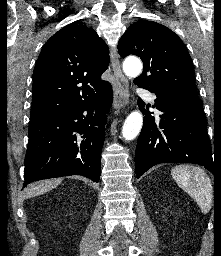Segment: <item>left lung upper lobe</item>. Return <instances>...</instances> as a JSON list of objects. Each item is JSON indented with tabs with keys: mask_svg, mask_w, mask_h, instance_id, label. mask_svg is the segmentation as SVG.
Returning <instances> with one entry per match:
<instances>
[{
	"mask_svg": "<svg viewBox=\"0 0 221 256\" xmlns=\"http://www.w3.org/2000/svg\"><path fill=\"white\" fill-rule=\"evenodd\" d=\"M121 57L141 58L143 73L134 79L153 93L198 97L194 67L184 43L176 33L153 21L133 23L118 44Z\"/></svg>",
	"mask_w": 221,
	"mask_h": 256,
	"instance_id": "1",
	"label": "left lung upper lobe"
}]
</instances>
